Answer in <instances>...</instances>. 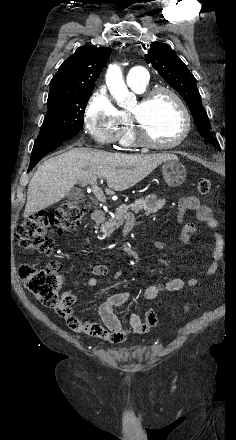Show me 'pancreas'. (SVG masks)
<instances>
[{"mask_svg":"<svg viewBox=\"0 0 236 440\" xmlns=\"http://www.w3.org/2000/svg\"><path fill=\"white\" fill-rule=\"evenodd\" d=\"M165 204L164 199H157V195L151 194L146 198L138 199L130 205H122L116 209L114 217L108 221H101V231L104 237H110L116 228L124 223V220L134 219V213L145 211L146 215L156 213Z\"/></svg>","mask_w":236,"mask_h":440,"instance_id":"obj_1","label":"pancreas"}]
</instances>
